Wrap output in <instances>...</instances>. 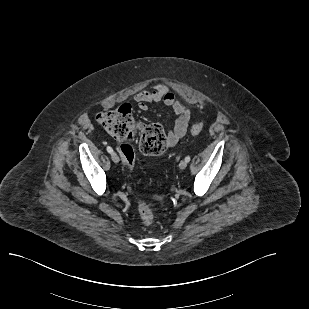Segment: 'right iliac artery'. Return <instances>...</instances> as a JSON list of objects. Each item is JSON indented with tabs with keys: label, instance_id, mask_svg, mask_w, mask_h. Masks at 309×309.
<instances>
[{
	"label": "right iliac artery",
	"instance_id": "82829eb1",
	"mask_svg": "<svg viewBox=\"0 0 309 309\" xmlns=\"http://www.w3.org/2000/svg\"><path fill=\"white\" fill-rule=\"evenodd\" d=\"M106 149H107V152H108V153H110V154L113 153V149H112L110 146H108Z\"/></svg>",
	"mask_w": 309,
	"mask_h": 309
}]
</instances>
